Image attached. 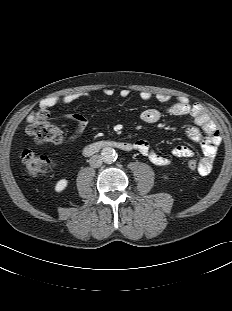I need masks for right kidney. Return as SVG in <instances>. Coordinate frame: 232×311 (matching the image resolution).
Returning <instances> with one entry per match:
<instances>
[{"label": "right kidney", "mask_w": 232, "mask_h": 311, "mask_svg": "<svg viewBox=\"0 0 232 311\" xmlns=\"http://www.w3.org/2000/svg\"><path fill=\"white\" fill-rule=\"evenodd\" d=\"M68 185V181L66 179L59 180L55 185V191L61 192L63 191Z\"/></svg>", "instance_id": "right-kidney-1"}]
</instances>
